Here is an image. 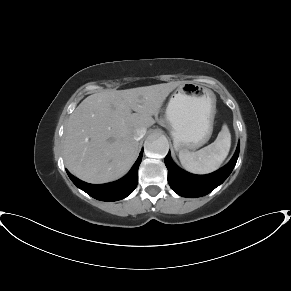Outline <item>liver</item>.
Here are the masks:
<instances>
[{"label": "liver", "mask_w": 291, "mask_h": 291, "mask_svg": "<svg viewBox=\"0 0 291 291\" xmlns=\"http://www.w3.org/2000/svg\"><path fill=\"white\" fill-rule=\"evenodd\" d=\"M180 84L106 90L86 97L69 116L65 128L63 156L68 170L95 184L124 176L139 153L134 131L155 123L152 116Z\"/></svg>", "instance_id": "liver-1"}]
</instances>
